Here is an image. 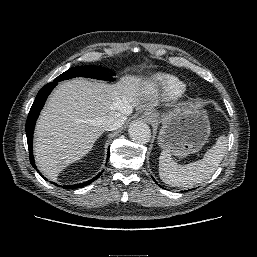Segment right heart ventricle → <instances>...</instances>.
I'll use <instances>...</instances> for the list:
<instances>
[{
    "label": "right heart ventricle",
    "instance_id": "obj_1",
    "mask_svg": "<svg viewBox=\"0 0 257 257\" xmlns=\"http://www.w3.org/2000/svg\"><path fill=\"white\" fill-rule=\"evenodd\" d=\"M185 84L177 77L163 74L155 78L156 92L163 97H175L185 91Z\"/></svg>",
    "mask_w": 257,
    "mask_h": 257
}]
</instances>
